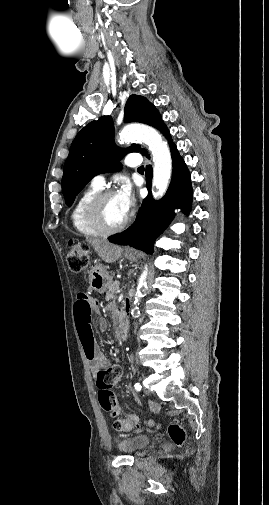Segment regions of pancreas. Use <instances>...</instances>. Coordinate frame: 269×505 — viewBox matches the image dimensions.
Segmentation results:
<instances>
[{
    "instance_id": "1",
    "label": "pancreas",
    "mask_w": 269,
    "mask_h": 505,
    "mask_svg": "<svg viewBox=\"0 0 269 505\" xmlns=\"http://www.w3.org/2000/svg\"><path fill=\"white\" fill-rule=\"evenodd\" d=\"M118 290H119V282L115 281L109 286L107 295L110 296L111 299L115 300Z\"/></svg>"
}]
</instances>
